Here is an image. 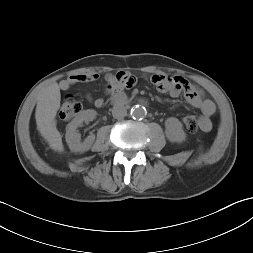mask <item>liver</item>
I'll return each instance as SVG.
<instances>
[{"label": "liver", "instance_id": "1", "mask_svg": "<svg viewBox=\"0 0 253 253\" xmlns=\"http://www.w3.org/2000/svg\"><path fill=\"white\" fill-rule=\"evenodd\" d=\"M61 94L56 82L41 89L37 96L35 119L41 136L51 149L63 152L64 146L60 132L56 127V114L60 108Z\"/></svg>", "mask_w": 253, "mask_h": 253}]
</instances>
